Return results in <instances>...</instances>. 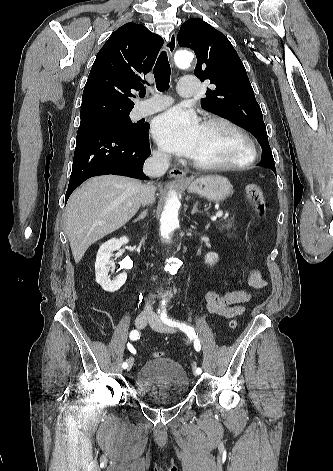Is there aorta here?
<instances>
[{"instance_id":"obj_1","label":"aorta","mask_w":333,"mask_h":471,"mask_svg":"<svg viewBox=\"0 0 333 471\" xmlns=\"http://www.w3.org/2000/svg\"><path fill=\"white\" fill-rule=\"evenodd\" d=\"M192 60L193 54L189 51H179L175 55L176 65L180 68H187ZM180 205L177 194L170 192L160 217V233L164 239L168 240L170 238L179 223L178 211Z\"/></svg>"}]
</instances>
